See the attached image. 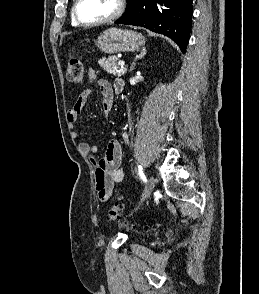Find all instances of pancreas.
I'll use <instances>...</instances> for the list:
<instances>
[{"label": "pancreas", "instance_id": "1", "mask_svg": "<svg viewBox=\"0 0 259 294\" xmlns=\"http://www.w3.org/2000/svg\"><path fill=\"white\" fill-rule=\"evenodd\" d=\"M118 58L116 56L103 57L98 61L99 65L108 73L122 76L126 73L127 69L125 67H119L116 62Z\"/></svg>", "mask_w": 259, "mask_h": 294}]
</instances>
